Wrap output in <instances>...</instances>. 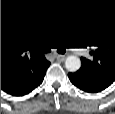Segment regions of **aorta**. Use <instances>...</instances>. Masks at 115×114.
Instances as JSON below:
<instances>
[{
  "instance_id": "762f6f07",
  "label": "aorta",
  "mask_w": 115,
  "mask_h": 114,
  "mask_svg": "<svg viewBox=\"0 0 115 114\" xmlns=\"http://www.w3.org/2000/svg\"><path fill=\"white\" fill-rule=\"evenodd\" d=\"M65 67L70 72H76L81 67V61L77 56L70 55L65 60Z\"/></svg>"
}]
</instances>
